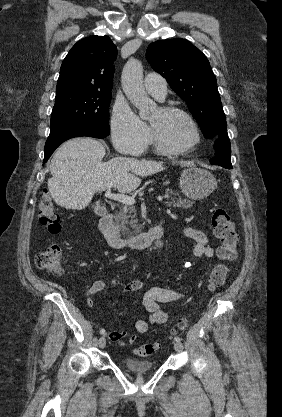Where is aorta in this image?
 Here are the masks:
<instances>
[{"instance_id": "obj_1", "label": "aorta", "mask_w": 282, "mask_h": 417, "mask_svg": "<svg viewBox=\"0 0 282 417\" xmlns=\"http://www.w3.org/2000/svg\"><path fill=\"white\" fill-rule=\"evenodd\" d=\"M122 86L128 100L138 108L140 118H148L157 108L156 102L149 98L144 88L143 66L140 60H127L122 70Z\"/></svg>"}]
</instances>
